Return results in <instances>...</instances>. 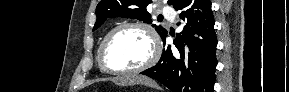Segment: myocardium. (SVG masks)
<instances>
[{
    "label": "myocardium",
    "instance_id": "f54148a6",
    "mask_svg": "<svg viewBox=\"0 0 289 92\" xmlns=\"http://www.w3.org/2000/svg\"><path fill=\"white\" fill-rule=\"evenodd\" d=\"M126 28H139L145 31L152 44V53L150 57L147 59V61H145L142 65L138 67L131 68V69H114V68H111L106 62V51L111 40L121 30L126 29ZM160 54H161V43L153 27L150 24L142 22V21H129V22H123L117 25L111 31L107 33V35L105 36V38L103 39L101 43V46L99 49L98 60H99L100 67L102 68L103 71L110 73V74L127 75V74H136L152 67L158 61Z\"/></svg>",
    "mask_w": 289,
    "mask_h": 92
}]
</instances>
